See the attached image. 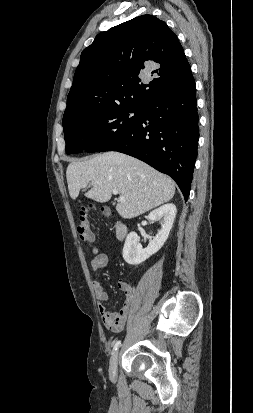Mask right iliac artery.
<instances>
[{
  "mask_svg": "<svg viewBox=\"0 0 253 413\" xmlns=\"http://www.w3.org/2000/svg\"><path fill=\"white\" fill-rule=\"evenodd\" d=\"M120 344H121V341H120V340L117 341V342L115 343V345L113 346V351H114V350H117V348L119 347Z\"/></svg>",
  "mask_w": 253,
  "mask_h": 413,
  "instance_id": "82829eb1",
  "label": "right iliac artery"
}]
</instances>
